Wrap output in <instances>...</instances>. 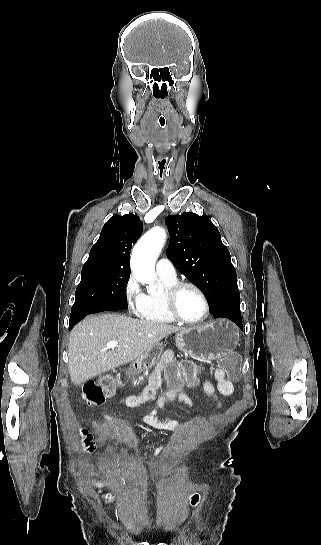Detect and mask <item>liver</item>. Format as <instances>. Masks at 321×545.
I'll return each mask as SVG.
<instances>
[{"mask_svg":"<svg viewBox=\"0 0 321 545\" xmlns=\"http://www.w3.org/2000/svg\"><path fill=\"white\" fill-rule=\"evenodd\" d=\"M183 331L181 327L139 321L124 315H92L74 327L68 347L69 373L74 385L98 377L106 371L131 363L156 347L164 337ZM117 341L108 351L106 343Z\"/></svg>","mask_w":321,"mask_h":545,"instance_id":"liver-1","label":"liver"}]
</instances>
